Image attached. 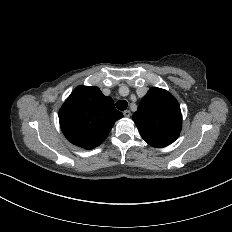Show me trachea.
Segmentation results:
<instances>
[{"label": "trachea", "instance_id": "1", "mask_svg": "<svg viewBox=\"0 0 232 232\" xmlns=\"http://www.w3.org/2000/svg\"><path fill=\"white\" fill-rule=\"evenodd\" d=\"M117 109L123 111L128 107V102L126 100H119L116 102Z\"/></svg>", "mask_w": 232, "mask_h": 232}]
</instances>
